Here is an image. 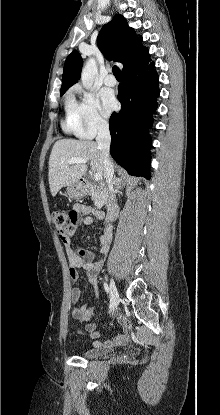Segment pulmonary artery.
I'll return each instance as SVG.
<instances>
[{"label": "pulmonary artery", "mask_w": 220, "mask_h": 415, "mask_svg": "<svg viewBox=\"0 0 220 415\" xmlns=\"http://www.w3.org/2000/svg\"><path fill=\"white\" fill-rule=\"evenodd\" d=\"M104 83L107 86L113 87L117 84V80L113 74H108L104 79Z\"/></svg>", "instance_id": "e3ab8cb5"}]
</instances>
